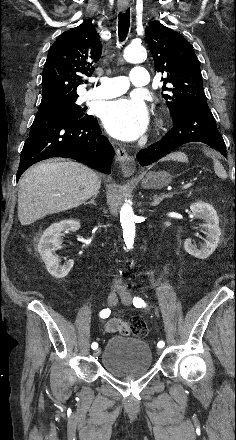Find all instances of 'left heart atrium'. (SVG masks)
Masks as SVG:
<instances>
[{
	"label": "left heart atrium",
	"instance_id": "1",
	"mask_svg": "<svg viewBox=\"0 0 236 440\" xmlns=\"http://www.w3.org/2000/svg\"><path fill=\"white\" fill-rule=\"evenodd\" d=\"M102 121L111 136L132 141L145 131L148 111L140 98H121L106 105Z\"/></svg>",
	"mask_w": 236,
	"mask_h": 440
}]
</instances>
